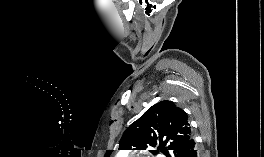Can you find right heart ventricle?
Listing matches in <instances>:
<instances>
[{"instance_id": "right-heart-ventricle-1", "label": "right heart ventricle", "mask_w": 264, "mask_h": 157, "mask_svg": "<svg viewBox=\"0 0 264 157\" xmlns=\"http://www.w3.org/2000/svg\"><path fill=\"white\" fill-rule=\"evenodd\" d=\"M116 157H126V156H124V155L120 154V155H118V156H116Z\"/></svg>"}]
</instances>
